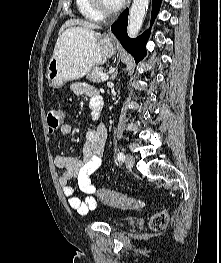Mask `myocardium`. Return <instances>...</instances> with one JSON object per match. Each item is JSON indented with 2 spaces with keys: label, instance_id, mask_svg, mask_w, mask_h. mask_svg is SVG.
Wrapping results in <instances>:
<instances>
[{
  "label": "myocardium",
  "instance_id": "1",
  "mask_svg": "<svg viewBox=\"0 0 221 263\" xmlns=\"http://www.w3.org/2000/svg\"><path fill=\"white\" fill-rule=\"evenodd\" d=\"M88 1L92 9H94L102 17L114 16L117 13H119L124 6V2H121L120 5L117 6L116 8L108 9L103 5L102 0H88Z\"/></svg>",
  "mask_w": 221,
  "mask_h": 263
}]
</instances>
